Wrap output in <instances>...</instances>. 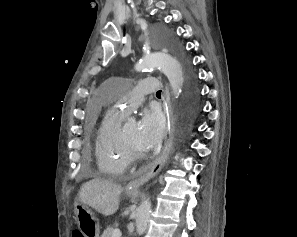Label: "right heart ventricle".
Instances as JSON below:
<instances>
[{"label":"right heart ventricle","mask_w":297,"mask_h":237,"mask_svg":"<svg viewBox=\"0 0 297 237\" xmlns=\"http://www.w3.org/2000/svg\"><path fill=\"white\" fill-rule=\"evenodd\" d=\"M123 114L109 111L97 129L95 156L99 170L106 176H118L125 172L131 161L118 140Z\"/></svg>","instance_id":"1"}]
</instances>
